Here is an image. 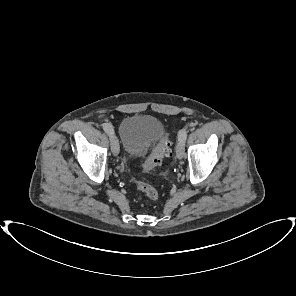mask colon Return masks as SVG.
Listing matches in <instances>:
<instances>
[{
  "label": "colon",
  "mask_w": 296,
  "mask_h": 296,
  "mask_svg": "<svg viewBox=\"0 0 296 296\" xmlns=\"http://www.w3.org/2000/svg\"><path fill=\"white\" fill-rule=\"evenodd\" d=\"M170 154H171L170 140L168 136H164L152 148L148 159L143 164V168L146 170H151L157 167L158 165H160L162 160L165 157H168ZM135 184H136V187L140 191L145 193V195L149 199L156 200L158 198V192L152 185L139 180L135 181Z\"/></svg>",
  "instance_id": "5ec220e1"
}]
</instances>
